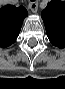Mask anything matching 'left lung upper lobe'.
Masks as SVG:
<instances>
[{
	"instance_id": "obj_1",
	"label": "left lung upper lobe",
	"mask_w": 65,
	"mask_h": 89,
	"mask_svg": "<svg viewBox=\"0 0 65 89\" xmlns=\"http://www.w3.org/2000/svg\"><path fill=\"white\" fill-rule=\"evenodd\" d=\"M47 36L58 48H65V2L51 0L42 11Z\"/></svg>"
}]
</instances>
